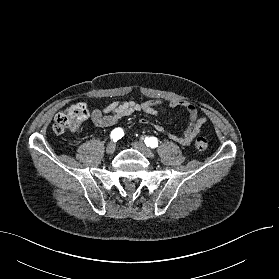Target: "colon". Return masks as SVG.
I'll list each match as a JSON object with an SVG mask.
<instances>
[{
	"label": "colon",
	"instance_id": "obj_1",
	"mask_svg": "<svg viewBox=\"0 0 279 279\" xmlns=\"http://www.w3.org/2000/svg\"><path fill=\"white\" fill-rule=\"evenodd\" d=\"M88 109L83 103H76L55 116L53 130L56 134L78 129L88 118ZM208 146L204 137L197 138L195 147L198 151L206 150Z\"/></svg>",
	"mask_w": 279,
	"mask_h": 279
}]
</instances>
